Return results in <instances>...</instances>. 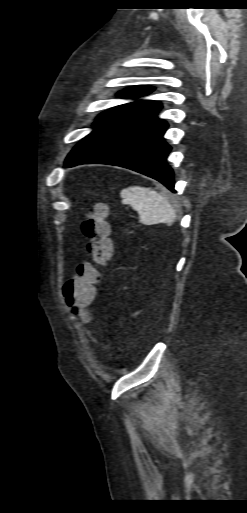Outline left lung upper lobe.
Returning <instances> with one entry per match:
<instances>
[{"label":"left lung upper lobe","mask_w":247,"mask_h":513,"mask_svg":"<svg viewBox=\"0 0 247 513\" xmlns=\"http://www.w3.org/2000/svg\"><path fill=\"white\" fill-rule=\"evenodd\" d=\"M154 90L153 87H135V88H129V89H126L124 90L123 92H120L118 94V96L120 97H127V98H138L139 96H142V95H145V94H148L150 92H152ZM129 104V103H128ZM124 105H127V104H124ZM124 105H120V106H116L110 110H107L106 112L102 113L100 116L106 114L107 112L109 111H112L118 107H121V106H124ZM99 116V117H100Z\"/></svg>","instance_id":"5c2ea615"}]
</instances>
